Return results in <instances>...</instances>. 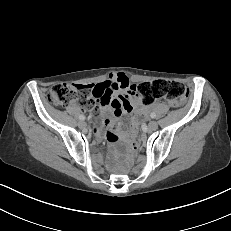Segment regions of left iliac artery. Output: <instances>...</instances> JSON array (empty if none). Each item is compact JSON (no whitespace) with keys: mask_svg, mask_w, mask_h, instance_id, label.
<instances>
[{"mask_svg":"<svg viewBox=\"0 0 231 231\" xmlns=\"http://www.w3.org/2000/svg\"><path fill=\"white\" fill-rule=\"evenodd\" d=\"M151 118H155L156 117V114L155 113H151Z\"/></svg>","mask_w":231,"mask_h":231,"instance_id":"obj_1","label":"left iliac artery"}]
</instances>
